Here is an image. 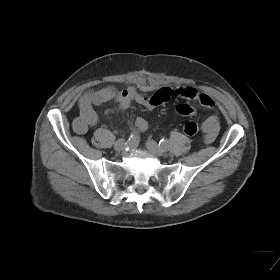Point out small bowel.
Masks as SVG:
<instances>
[{
  "label": "small bowel",
  "mask_w": 280,
  "mask_h": 280,
  "mask_svg": "<svg viewBox=\"0 0 280 280\" xmlns=\"http://www.w3.org/2000/svg\"><path fill=\"white\" fill-rule=\"evenodd\" d=\"M171 99H186L196 101L199 104L211 108L214 106V100L211 96L198 92L192 87H162L156 90L152 95L145 96L141 94L134 86H127L117 91L113 86L103 87L98 90H91L82 95L79 100V118L82 120L84 127L82 130H76L78 133H84L97 122V114L94 106L112 101L114 107L108 112L126 109L132 102H136L148 110L154 109L156 106L169 101ZM188 111L180 114L184 116H194L195 109L188 104ZM136 131L145 132L148 128L147 121L142 117H137L134 121ZM205 142H211L217 135L220 122L217 115H211L202 123Z\"/></svg>",
  "instance_id": "c3829d8e"
}]
</instances>
